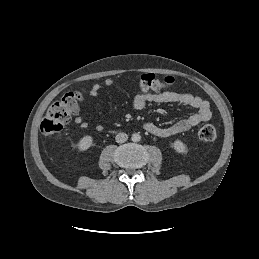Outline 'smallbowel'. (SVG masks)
<instances>
[{
    "instance_id": "c3829d8e",
    "label": "small bowel",
    "mask_w": 259,
    "mask_h": 259,
    "mask_svg": "<svg viewBox=\"0 0 259 259\" xmlns=\"http://www.w3.org/2000/svg\"><path fill=\"white\" fill-rule=\"evenodd\" d=\"M104 85L107 88H111L114 85V81L111 78H107L104 81ZM100 89L101 86L99 84H94L91 89V95L98 97ZM151 102L182 104L195 109V112L191 115L180 119L169 126L161 127L152 122L145 123L144 129L150 134L158 137L166 138L188 131L198 124L210 120L212 117V111L208 101L187 92L165 91L160 93H140L133 98V106L138 110L144 109L146 105ZM74 120L83 129L87 128L89 125L80 115H76ZM96 129L100 131L102 130V126L98 125Z\"/></svg>"
}]
</instances>
